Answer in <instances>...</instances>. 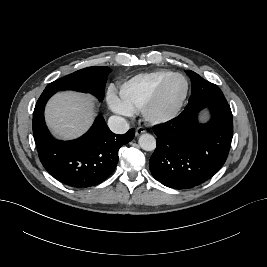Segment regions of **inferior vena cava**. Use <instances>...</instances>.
<instances>
[{
    "mask_svg": "<svg viewBox=\"0 0 267 267\" xmlns=\"http://www.w3.org/2000/svg\"><path fill=\"white\" fill-rule=\"evenodd\" d=\"M108 127L116 134H124L129 129V124L125 118L117 115H113L108 119Z\"/></svg>",
    "mask_w": 267,
    "mask_h": 267,
    "instance_id": "obj_1",
    "label": "inferior vena cava"
}]
</instances>
